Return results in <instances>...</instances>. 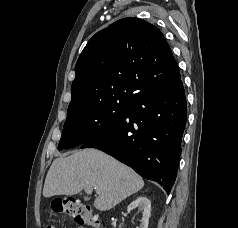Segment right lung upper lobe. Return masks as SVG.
Instances as JSON below:
<instances>
[{
	"instance_id": "cb5924a9",
	"label": "right lung upper lobe",
	"mask_w": 238,
	"mask_h": 228,
	"mask_svg": "<svg viewBox=\"0 0 238 228\" xmlns=\"http://www.w3.org/2000/svg\"><path fill=\"white\" fill-rule=\"evenodd\" d=\"M67 114L102 102H129L180 79L161 31L139 18L118 20L96 33L75 66Z\"/></svg>"
}]
</instances>
